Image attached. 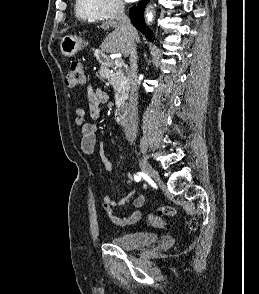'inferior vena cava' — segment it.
<instances>
[{
	"instance_id": "1",
	"label": "inferior vena cava",
	"mask_w": 259,
	"mask_h": 294,
	"mask_svg": "<svg viewBox=\"0 0 259 294\" xmlns=\"http://www.w3.org/2000/svg\"><path fill=\"white\" fill-rule=\"evenodd\" d=\"M115 17L119 28L124 31L127 38L128 53L130 56V96L128 113L129 118L136 122L138 120V75H137V51L135 44V29L132 26L130 19L125 14L123 3L119 2L116 6ZM131 138H135V130L131 132Z\"/></svg>"
}]
</instances>
